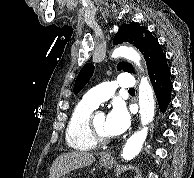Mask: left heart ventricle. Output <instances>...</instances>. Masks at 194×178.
Returning <instances> with one entry per match:
<instances>
[{"label": "left heart ventricle", "mask_w": 194, "mask_h": 178, "mask_svg": "<svg viewBox=\"0 0 194 178\" xmlns=\"http://www.w3.org/2000/svg\"><path fill=\"white\" fill-rule=\"evenodd\" d=\"M105 120H106V116L103 113H97L94 117L95 126L98 129V131L103 135H107L105 131Z\"/></svg>", "instance_id": "left-heart-ventricle-1"}]
</instances>
